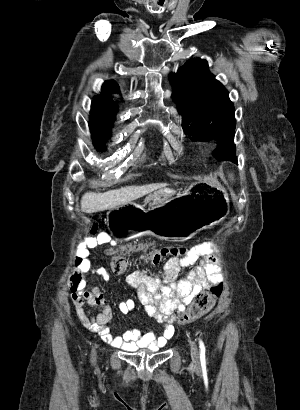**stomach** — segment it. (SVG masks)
I'll list each match as a JSON object with an SVG mask.
<instances>
[{"instance_id": "stomach-1", "label": "stomach", "mask_w": 300, "mask_h": 410, "mask_svg": "<svg viewBox=\"0 0 300 410\" xmlns=\"http://www.w3.org/2000/svg\"><path fill=\"white\" fill-rule=\"evenodd\" d=\"M161 193L150 194L151 208L128 202L107 212V225L120 241L153 235L166 241H186L201 230L221 222L229 210L226 192L208 184H193L183 194L167 202Z\"/></svg>"}]
</instances>
